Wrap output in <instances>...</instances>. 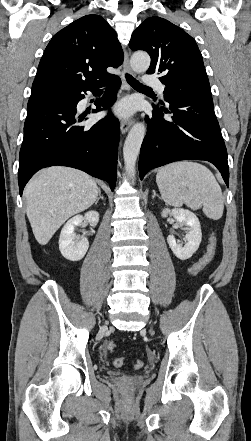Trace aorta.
Here are the masks:
<instances>
[{
	"mask_svg": "<svg viewBox=\"0 0 251 441\" xmlns=\"http://www.w3.org/2000/svg\"><path fill=\"white\" fill-rule=\"evenodd\" d=\"M130 63L135 72H145L150 66V57L147 53L138 52L133 54ZM145 131L146 128L143 123H136L130 129L124 143L123 157L125 170L132 179L135 177V165L145 136Z\"/></svg>",
	"mask_w": 251,
	"mask_h": 441,
	"instance_id": "762f6f07",
	"label": "aorta"
}]
</instances>
